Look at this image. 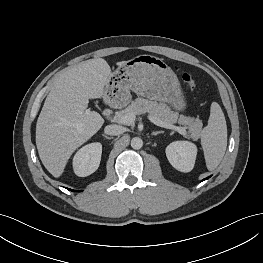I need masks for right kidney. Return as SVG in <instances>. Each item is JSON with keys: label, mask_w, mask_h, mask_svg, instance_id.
I'll use <instances>...</instances> for the list:
<instances>
[{"label": "right kidney", "mask_w": 263, "mask_h": 263, "mask_svg": "<svg viewBox=\"0 0 263 263\" xmlns=\"http://www.w3.org/2000/svg\"><path fill=\"white\" fill-rule=\"evenodd\" d=\"M102 145L90 143L79 149L73 158V169L77 176L86 177L94 173L100 164Z\"/></svg>", "instance_id": "ca27d5eb"}]
</instances>
